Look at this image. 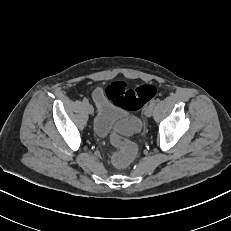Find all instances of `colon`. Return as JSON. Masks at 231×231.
I'll return each mask as SVG.
<instances>
[{"label":"colon","instance_id":"1","mask_svg":"<svg viewBox=\"0 0 231 231\" xmlns=\"http://www.w3.org/2000/svg\"><path fill=\"white\" fill-rule=\"evenodd\" d=\"M106 95L116 106L127 111H136L157 95V88L148 83L130 88L125 81L117 80L107 86ZM112 141L117 147L112 155V163L116 167H125L134 159L136 147L119 135H115Z\"/></svg>","mask_w":231,"mask_h":231}]
</instances>
